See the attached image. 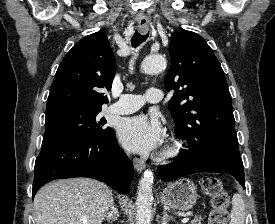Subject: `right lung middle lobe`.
<instances>
[{"label":"right lung middle lobe","instance_id":"dd1d6c3e","mask_svg":"<svg viewBox=\"0 0 275 224\" xmlns=\"http://www.w3.org/2000/svg\"><path fill=\"white\" fill-rule=\"evenodd\" d=\"M101 109L67 107L46 113L43 140H98L111 132L99 118Z\"/></svg>","mask_w":275,"mask_h":224}]
</instances>
